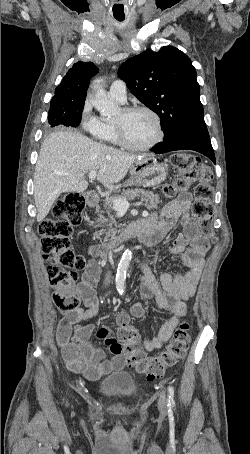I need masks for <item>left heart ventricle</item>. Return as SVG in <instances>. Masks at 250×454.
<instances>
[{
    "label": "left heart ventricle",
    "instance_id": "obj_1",
    "mask_svg": "<svg viewBox=\"0 0 250 454\" xmlns=\"http://www.w3.org/2000/svg\"><path fill=\"white\" fill-rule=\"evenodd\" d=\"M122 125L128 141L137 146L151 142L157 134L154 119L146 112L126 114L122 110L115 118Z\"/></svg>",
    "mask_w": 250,
    "mask_h": 454
}]
</instances>
